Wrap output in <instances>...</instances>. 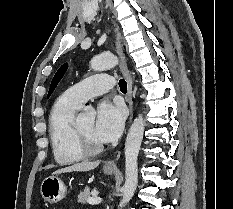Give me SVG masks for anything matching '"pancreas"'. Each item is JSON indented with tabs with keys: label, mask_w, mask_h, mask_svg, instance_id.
Here are the masks:
<instances>
[{
	"label": "pancreas",
	"mask_w": 233,
	"mask_h": 209,
	"mask_svg": "<svg viewBox=\"0 0 233 209\" xmlns=\"http://www.w3.org/2000/svg\"><path fill=\"white\" fill-rule=\"evenodd\" d=\"M91 192L89 188H85L83 191H80L78 195V203L86 204L90 198Z\"/></svg>",
	"instance_id": "1"
}]
</instances>
